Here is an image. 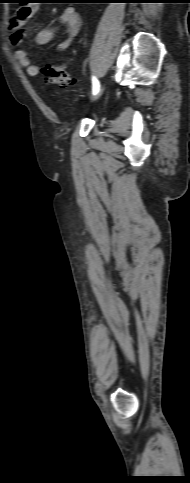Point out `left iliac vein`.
<instances>
[{
    "instance_id": "obj_1",
    "label": "left iliac vein",
    "mask_w": 190,
    "mask_h": 483,
    "mask_svg": "<svg viewBox=\"0 0 190 483\" xmlns=\"http://www.w3.org/2000/svg\"><path fill=\"white\" fill-rule=\"evenodd\" d=\"M103 90H104V85H101V87H100V89H99L100 93H102V92H103Z\"/></svg>"
}]
</instances>
